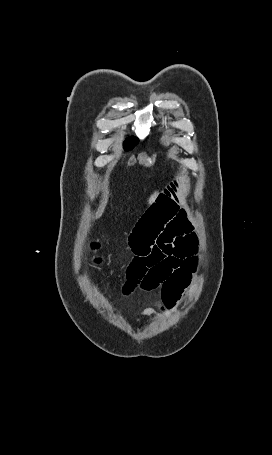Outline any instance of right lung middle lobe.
Masks as SVG:
<instances>
[{
	"instance_id": "obj_1",
	"label": "right lung middle lobe",
	"mask_w": 272,
	"mask_h": 455,
	"mask_svg": "<svg viewBox=\"0 0 272 455\" xmlns=\"http://www.w3.org/2000/svg\"><path fill=\"white\" fill-rule=\"evenodd\" d=\"M138 143V139L136 137H130L124 144V148L126 151L131 150L136 144Z\"/></svg>"
}]
</instances>
